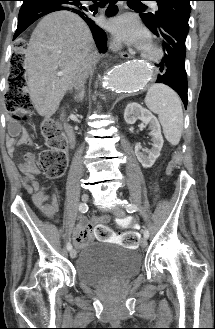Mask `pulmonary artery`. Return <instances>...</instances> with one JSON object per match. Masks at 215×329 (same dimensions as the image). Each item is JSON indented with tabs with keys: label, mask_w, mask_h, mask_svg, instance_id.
<instances>
[{
	"label": "pulmonary artery",
	"mask_w": 215,
	"mask_h": 329,
	"mask_svg": "<svg viewBox=\"0 0 215 329\" xmlns=\"http://www.w3.org/2000/svg\"><path fill=\"white\" fill-rule=\"evenodd\" d=\"M151 6H152L155 10L158 8V6H157V4H156L155 2H153V3L151 4Z\"/></svg>",
	"instance_id": "e3ab8cb5"
}]
</instances>
